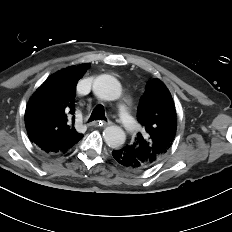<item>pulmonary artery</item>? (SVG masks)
<instances>
[{
  "label": "pulmonary artery",
  "instance_id": "1",
  "mask_svg": "<svg viewBox=\"0 0 232 232\" xmlns=\"http://www.w3.org/2000/svg\"><path fill=\"white\" fill-rule=\"evenodd\" d=\"M119 116L123 122V124L130 130L134 131L137 127L135 120L131 117V115L127 112L124 106L119 107L118 109Z\"/></svg>",
  "mask_w": 232,
  "mask_h": 232
}]
</instances>
